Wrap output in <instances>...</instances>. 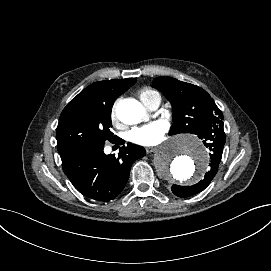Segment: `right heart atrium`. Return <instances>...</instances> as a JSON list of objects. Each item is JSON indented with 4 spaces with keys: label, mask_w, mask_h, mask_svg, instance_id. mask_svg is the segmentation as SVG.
Segmentation results:
<instances>
[{
    "label": "right heart atrium",
    "mask_w": 271,
    "mask_h": 271,
    "mask_svg": "<svg viewBox=\"0 0 271 271\" xmlns=\"http://www.w3.org/2000/svg\"><path fill=\"white\" fill-rule=\"evenodd\" d=\"M117 102H118V100L115 101V103H114V105H113V107L111 109V117H112V119H114V117H115V106H116Z\"/></svg>",
    "instance_id": "d8ad5b80"
}]
</instances>
